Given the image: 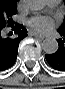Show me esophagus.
Instances as JSON below:
<instances>
[{
  "instance_id": "esophagus-1",
  "label": "esophagus",
  "mask_w": 65,
  "mask_h": 89,
  "mask_svg": "<svg viewBox=\"0 0 65 89\" xmlns=\"http://www.w3.org/2000/svg\"><path fill=\"white\" fill-rule=\"evenodd\" d=\"M30 35L36 37V38H39V39H44L45 36L44 35H40L38 33H35V32H30Z\"/></svg>"
}]
</instances>
